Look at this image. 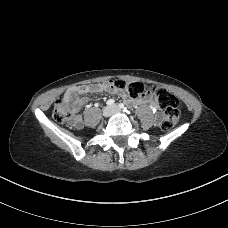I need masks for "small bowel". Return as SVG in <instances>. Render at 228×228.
<instances>
[{
    "label": "small bowel",
    "mask_w": 228,
    "mask_h": 228,
    "mask_svg": "<svg viewBox=\"0 0 228 228\" xmlns=\"http://www.w3.org/2000/svg\"><path fill=\"white\" fill-rule=\"evenodd\" d=\"M87 93H110V94H116L122 97H126L124 93H121L117 89H115V87L113 86V81H107L103 83L90 84V85L71 86L66 90L64 94V98L72 102L74 109L78 111L85 103V100L82 99L81 96ZM140 101L144 103H149L151 107L156 111L159 110V105L157 101L154 100L150 95H146L142 97ZM80 123H81V120L79 117H76L71 122L73 126H79Z\"/></svg>",
    "instance_id": "1"
}]
</instances>
